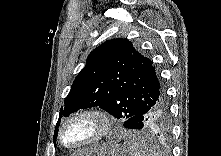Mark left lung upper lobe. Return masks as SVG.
<instances>
[{"instance_id": "left-lung-upper-lobe-1", "label": "left lung upper lobe", "mask_w": 221, "mask_h": 156, "mask_svg": "<svg viewBox=\"0 0 221 156\" xmlns=\"http://www.w3.org/2000/svg\"><path fill=\"white\" fill-rule=\"evenodd\" d=\"M163 84L152 61L127 39H111L95 48L73 82L59 117L99 106L127 120L160 98Z\"/></svg>"}]
</instances>
